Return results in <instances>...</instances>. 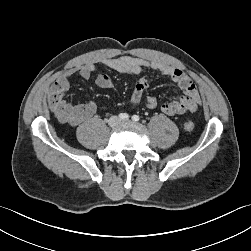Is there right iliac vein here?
Instances as JSON below:
<instances>
[{
	"instance_id": "63e3f726",
	"label": "right iliac vein",
	"mask_w": 251,
	"mask_h": 251,
	"mask_svg": "<svg viewBox=\"0 0 251 251\" xmlns=\"http://www.w3.org/2000/svg\"><path fill=\"white\" fill-rule=\"evenodd\" d=\"M120 123V120L118 117L113 116L109 119L108 124L111 127H116Z\"/></svg>"
}]
</instances>
